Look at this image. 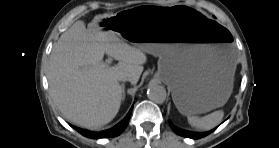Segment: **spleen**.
Instances as JSON below:
<instances>
[{
    "mask_svg": "<svg viewBox=\"0 0 279 148\" xmlns=\"http://www.w3.org/2000/svg\"><path fill=\"white\" fill-rule=\"evenodd\" d=\"M224 116L222 110L212 112L204 117L188 116V123L199 130H210L221 123Z\"/></svg>",
    "mask_w": 279,
    "mask_h": 148,
    "instance_id": "obj_1",
    "label": "spleen"
}]
</instances>
